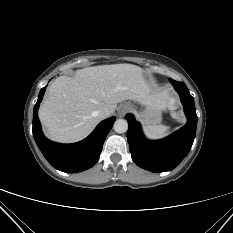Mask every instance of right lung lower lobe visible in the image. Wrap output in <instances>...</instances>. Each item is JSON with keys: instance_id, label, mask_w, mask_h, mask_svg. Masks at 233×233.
<instances>
[{"instance_id": "98d812e1", "label": "right lung lower lobe", "mask_w": 233, "mask_h": 233, "mask_svg": "<svg viewBox=\"0 0 233 233\" xmlns=\"http://www.w3.org/2000/svg\"><path fill=\"white\" fill-rule=\"evenodd\" d=\"M46 87L40 90L33 112V136L48 162L56 169L75 173L91 168L99 159L104 140L115 122V117L102 121L85 140L75 144H58L47 140L38 118V107Z\"/></svg>"}]
</instances>
